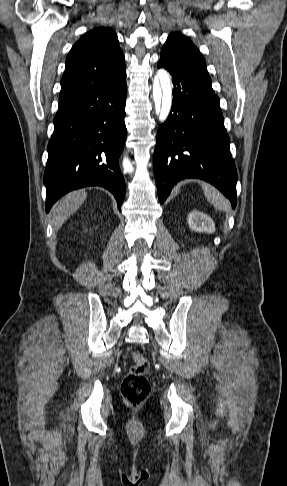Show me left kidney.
I'll return each mask as SVG.
<instances>
[{
  "mask_svg": "<svg viewBox=\"0 0 287 486\" xmlns=\"http://www.w3.org/2000/svg\"><path fill=\"white\" fill-rule=\"evenodd\" d=\"M189 228L199 233H214L216 228L213 220L203 212L191 211L187 217Z\"/></svg>",
  "mask_w": 287,
  "mask_h": 486,
  "instance_id": "obj_1",
  "label": "left kidney"
}]
</instances>
